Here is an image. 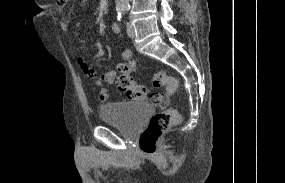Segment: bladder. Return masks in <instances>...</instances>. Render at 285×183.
I'll list each match as a JSON object with an SVG mask.
<instances>
[{"label": "bladder", "mask_w": 285, "mask_h": 183, "mask_svg": "<svg viewBox=\"0 0 285 183\" xmlns=\"http://www.w3.org/2000/svg\"><path fill=\"white\" fill-rule=\"evenodd\" d=\"M154 114L153 106L144 103L114 102L100 106L101 121L117 125L124 132L137 131Z\"/></svg>", "instance_id": "obj_1"}]
</instances>
